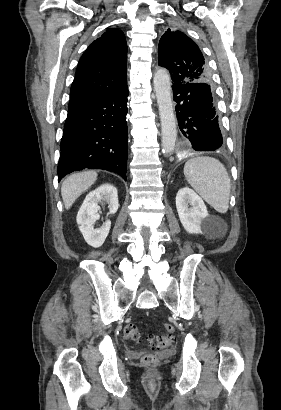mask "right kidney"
<instances>
[{
	"instance_id": "right-kidney-1",
	"label": "right kidney",
	"mask_w": 281,
	"mask_h": 410,
	"mask_svg": "<svg viewBox=\"0 0 281 410\" xmlns=\"http://www.w3.org/2000/svg\"><path fill=\"white\" fill-rule=\"evenodd\" d=\"M101 202L108 204V214L116 213L119 207L116 187L111 184H103L91 191L86 196L76 217L77 224L85 241L94 248H98L104 243L111 227V221L107 220L100 228L94 229V223L100 217L98 214L100 209L98 204Z\"/></svg>"
}]
</instances>
